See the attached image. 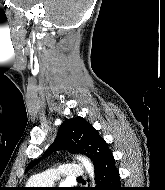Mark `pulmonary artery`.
Listing matches in <instances>:
<instances>
[{"label":"pulmonary artery","instance_id":"1","mask_svg":"<svg viewBox=\"0 0 165 190\" xmlns=\"http://www.w3.org/2000/svg\"><path fill=\"white\" fill-rule=\"evenodd\" d=\"M85 175V171L80 164L69 163L62 164L57 169L48 170L40 174L35 175L32 178V182L36 185H52L55 180L60 177H66L70 179L81 178Z\"/></svg>","mask_w":165,"mask_h":190}]
</instances>
